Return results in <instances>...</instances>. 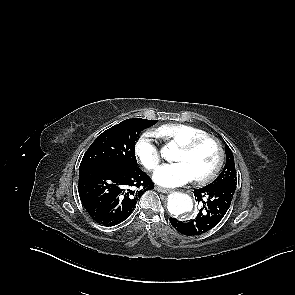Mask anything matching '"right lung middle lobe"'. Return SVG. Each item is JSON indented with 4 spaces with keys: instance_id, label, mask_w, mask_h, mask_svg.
Masks as SVG:
<instances>
[{
    "instance_id": "1",
    "label": "right lung middle lobe",
    "mask_w": 295,
    "mask_h": 295,
    "mask_svg": "<svg viewBox=\"0 0 295 295\" xmlns=\"http://www.w3.org/2000/svg\"><path fill=\"white\" fill-rule=\"evenodd\" d=\"M156 122L157 120L133 118L107 129L88 148L80 169L116 163L137 165L135 140L142 130Z\"/></svg>"
}]
</instances>
